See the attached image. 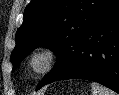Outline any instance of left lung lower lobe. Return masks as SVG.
<instances>
[{
  "mask_svg": "<svg viewBox=\"0 0 119 95\" xmlns=\"http://www.w3.org/2000/svg\"><path fill=\"white\" fill-rule=\"evenodd\" d=\"M66 79L94 81L119 94V0H115L84 33L72 65L46 84Z\"/></svg>",
  "mask_w": 119,
  "mask_h": 95,
  "instance_id": "obj_1",
  "label": "left lung lower lobe"
}]
</instances>
